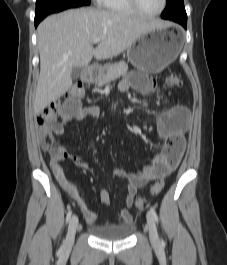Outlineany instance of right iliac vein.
I'll return each instance as SVG.
<instances>
[{
  "label": "right iliac vein",
  "mask_w": 227,
  "mask_h": 265,
  "mask_svg": "<svg viewBox=\"0 0 227 265\" xmlns=\"http://www.w3.org/2000/svg\"><path fill=\"white\" fill-rule=\"evenodd\" d=\"M78 224H79L78 217L74 215L70 219L69 226H68V232H67L66 241H65L66 248L70 247L73 244Z\"/></svg>",
  "instance_id": "63e3f726"
}]
</instances>
